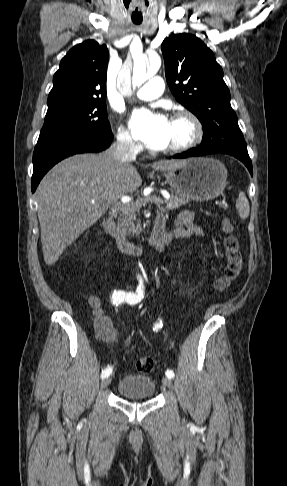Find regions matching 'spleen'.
Listing matches in <instances>:
<instances>
[{"label":"spleen","instance_id":"1","mask_svg":"<svg viewBox=\"0 0 287 486\" xmlns=\"http://www.w3.org/2000/svg\"><path fill=\"white\" fill-rule=\"evenodd\" d=\"M236 208L241 219H246L249 216L250 206L249 201L244 192H240L236 200Z\"/></svg>","mask_w":287,"mask_h":486}]
</instances>
